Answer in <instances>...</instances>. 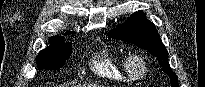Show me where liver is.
<instances>
[{
    "instance_id": "1",
    "label": "liver",
    "mask_w": 205,
    "mask_h": 87,
    "mask_svg": "<svg viewBox=\"0 0 205 87\" xmlns=\"http://www.w3.org/2000/svg\"><path fill=\"white\" fill-rule=\"evenodd\" d=\"M83 87H101V86H97L96 84H89V85H83Z\"/></svg>"
}]
</instances>
